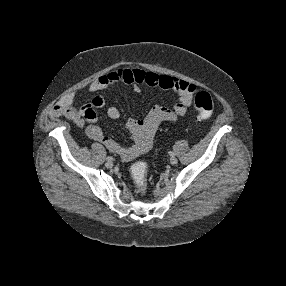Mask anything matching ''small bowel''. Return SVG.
<instances>
[{"mask_svg": "<svg viewBox=\"0 0 286 286\" xmlns=\"http://www.w3.org/2000/svg\"><path fill=\"white\" fill-rule=\"evenodd\" d=\"M122 84L132 85L137 93L141 91L140 86L145 84L153 88L173 91L178 95L173 109L155 106L148 112L145 118L129 119L127 121L126 129L133 140L132 146H120L114 140L105 136L101 128L96 125V108L104 105V100L101 96H95L90 104L77 107L75 105V92H69L53 108L52 114L54 116L63 115L74 121L85 128L89 140L103 144L123 161H130L150 149L154 135L162 123H173L186 115L192 106L193 95L197 88L193 83L170 75L145 72L139 68H118L97 78L89 86V92L96 93ZM107 115L111 119H118L120 111L116 106H110L107 109Z\"/></svg>", "mask_w": 286, "mask_h": 286, "instance_id": "obj_1", "label": "small bowel"}]
</instances>
